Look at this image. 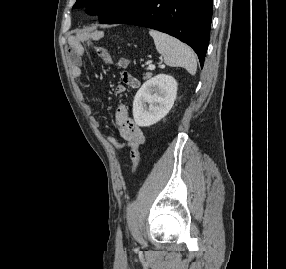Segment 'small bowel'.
I'll return each mask as SVG.
<instances>
[{
  "mask_svg": "<svg viewBox=\"0 0 286 269\" xmlns=\"http://www.w3.org/2000/svg\"><path fill=\"white\" fill-rule=\"evenodd\" d=\"M95 50L105 63L114 64L113 57L108 50L101 47H97ZM69 58L71 61V76L74 79H78L82 75L84 65L83 46L80 40L72 39L70 41ZM115 122L123 138V146H127L130 149L129 155L132 162V174H135L141 162L139 148L145 140L143 131L133 122L126 104L118 105L115 112ZM91 123L95 127L99 126V122L95 117H91ZM111 139L113 140V138Z\"/></svg>",
  "mask_w": 286,
  "mask_h": 269,
  "instance_id": "obj_1",
  "label": "small bowel"
}]
</instances>
